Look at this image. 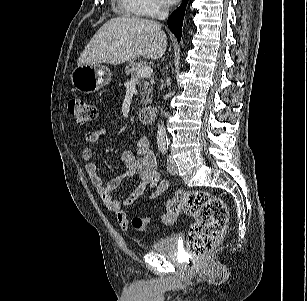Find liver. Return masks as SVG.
<instances>
[{"label": "liver", "mask_w": 307, "mask_h": 301, "mask_svg": "<svg viewBox=\"0 0 307 301\" xmlns=\"http://www.w3.org/2000/svg\"><path fill=\"white\" fill-rule=\"evenodd\" d=\"M166 48L167 37L158 22L138 17H116L96 32L77 64L118 65L140 56L157 60L164 55Z\"/></svg>", "instance_id": "liver-1"}]
</instances>
